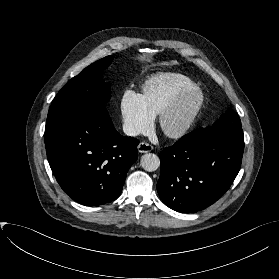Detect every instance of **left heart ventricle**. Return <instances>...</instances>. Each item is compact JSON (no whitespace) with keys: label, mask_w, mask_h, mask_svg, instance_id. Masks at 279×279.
I'll return each mask as SVG.
<instances>
[{"label":"left heart ventricle","mask_w":279,"mask_h":279,"mask_svg":"<svg viewBox=\"0 0 279 279\" xmlns=\"http://www.w3.org/2000/svg\"><path fill=\"white\" fill-rule=\"evenodd\" d=\"M194 99L188 101L172 118L169 119L167 126L169 128L178 127L187 118L192 106Z\"/></svg>","instance_id":"obj_1"}]
</instances>
